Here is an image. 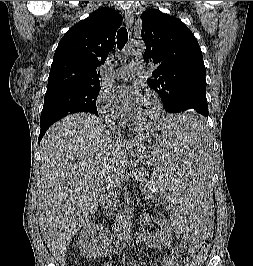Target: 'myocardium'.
<instances>
[{"mask_svg":"<svg viewBox=\"0 0 253 266\" xmlns=\"http://www.w3.org/2000/svg\"><path fill=\"white\" fill-rule=\"evenodd\" d=\"M145 96H147L153 100V102L155 104V112H154L153 116L145 122H139V121H136L133 119L132 120L133 124L136 126H139V127H150V126L154 125L159 120V118L161 117L162 111H163L162 101L158 97L157 94H155L153 92H147L145 94Z\"/></svg>","mask_w":253,"mask_h":266,"instance_id":"1","label":"myocardium"}]
</instances>
